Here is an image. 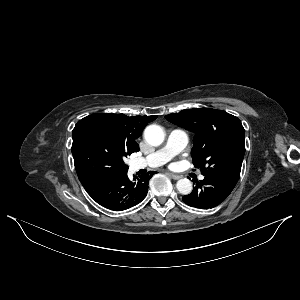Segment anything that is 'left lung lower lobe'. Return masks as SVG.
Here are the masks:
<instances>
[{
  "instance_id": "left-lung-lower-lobe-1",
  "label": "left lung lower lobe",
  "mask_w": 300,
  "mask_h": 300,
  "mask_svg": "<svg viewBox=\"0 0 300 300\" xmlns=\"http://www.w3.org/2000/svg\"><path fill=\"white\" fill-rule=\"evenodd\" d=\"M236 184L216 176H205L196 182L193 191L182 200L189 206L210 209L219 205L231 193Z\"/></svg>"
}]
</instances>
